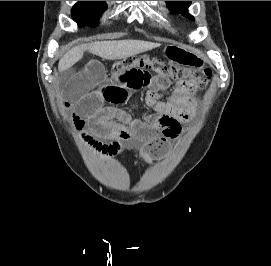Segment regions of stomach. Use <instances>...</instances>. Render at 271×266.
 Wrapping results in <instances>:
<instances>
[{
	"mask_svg": "<svg viewBox=\"0 0 271 266\" xmlns=\"http://www.w3.org/2000/svg\"><path fill=\"white\" fill-rule=\"evenodd\" d=\"M164 56L174 64L187 65L193 67H202L205 62L203 59L195 52L188 50L187 48L170 44L165 46L163 50Z\"/></svg>",
	"mask_w": 271,
	"mask_h": 266,
	"instance_id": "0dacf381",
	"label": "stomach"
}]
</instances>
